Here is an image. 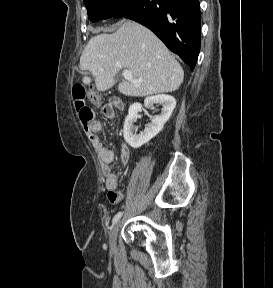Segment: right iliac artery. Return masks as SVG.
Listing matches in <instances>:
<instances>
[{"instance_id": "right-iliac-artery-1", "label": "right iliac artery", "mask_w": 273, "mask_h": 288, "mask_svg": "<svg viewBox=\"0 0 273 288\" xmlns=\"http://www.w3.org/2000/svg\"><path fill=\"white\" fill-rule=\"evenodd\" d=\"M122 214H123L122 212H119V213H117V214L114 216V218H113V224H115V223L118 222V220L121 218Z\"/></svg>"}]
</instances>
